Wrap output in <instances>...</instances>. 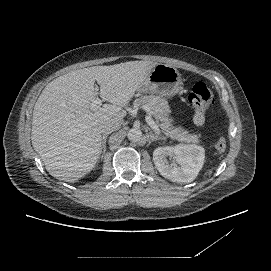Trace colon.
<instances>
[{"label": "colon", "mask_w": 271, "mask_h": 271, "mask_svg": "<svg viewBox=\"0 0 271 271\" xmlns=\"http://www.w3.org/2000/svg\"><path fill=\"white\" fill-rule=\"evenodd\" d=\"M215 101V96L212 90L203 82H197L192 87L189 94V102L193 106L194 121L196 124L201 125L206 119V110L209 109ZM215 147L218 151L222 152L227 147V141L224 137L219 138Z\"/></svg>", "instance_id": "obj_1"}]
</instances>
